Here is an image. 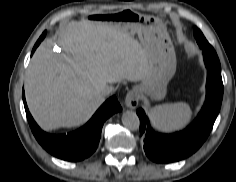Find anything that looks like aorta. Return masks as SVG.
Returning <instances> with one entry per match:
<instances>
[{
	"instance_id": "762f6f07",
	"label": "aorta",
	"mask_w": 236,
	"mask_h": 182,
	"mask_svg": "<svg viewBox=\"0 0 236 182\" xmlns=\"http://www.w3.org/2000/svg\"><path fill=\"white\" fill-rule=\"evenodd\" d=\"M122 124L129 130L136 131L140 127V120L134 111H126L122 114Z\"/></svg>"
}]
</instances>
